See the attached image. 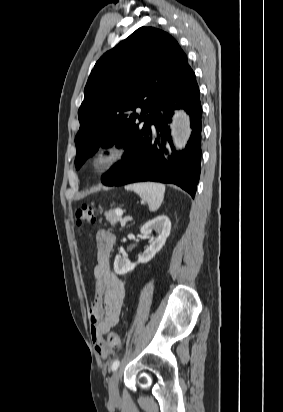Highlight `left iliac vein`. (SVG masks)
Here are the masks:
<instances>
[{"instance_id": "obj_1", "label": "left iliac vein", "mask_w": 283, "mask_h": 412, "mask_svg": "<svg viewBox=\"0 0 283 412\" xmlns=\"http://www.w3.org/2000/svg\"><path fill=\"white\" fill-rule=\"evenodd\" d=\"M121 375L120 370H116L109 379L108 382V390H109V398L112 402H117L119 400V390H118V382Z\"/></svg>"}]
</instances>
